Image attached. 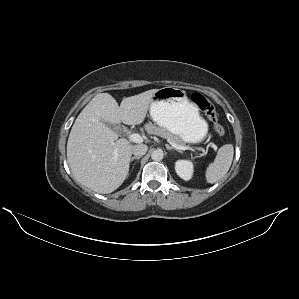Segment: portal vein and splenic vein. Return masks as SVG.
Returning a JSON list of instances; mask_svg holds the SVG:
<instances>
[{"mask_svg":"<svg viewBox=\"0 0 299 299\" xmlns=\"http://www.w3.org/2000/svg\"><path fill=\"white\" fill-rule=\"evenodd\" d=\"M128 138L135 143H141L143 142V137L139 134H130L128 136ZM170 144L172 145V147H174L175 149L178 150H197V151H205V149L203 147H198V148H192V147H188V146H182V145H177L175 143L170 142ZM214 149H217V147L215 145L212 146Z\"/></svg>","mask_w":299,"mask_h":299,"instance_id":"obj_1","label":"portal vein and splenic vein"}]
</instances>
